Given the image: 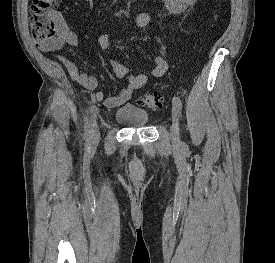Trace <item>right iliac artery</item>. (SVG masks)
Returning a JSON list of instances; mask_svg holds the SVG:
<instances>
[{
    "label": "right iliac artery",
    "mask_w": 275,
    "mask_h": 263,
    "mask_svg": "<svg viewBox=\"0 0 275 263\" xmlns=\"http://www.w3.org/2000/svg\"><path fill=\"white\" fill-rule=\"evenodd\" d=\"M94 115H95V106L91 105L87 112V116L85 118L84 138L87 142L91 140L92 123H93Z\"/></svg>",
    "instance_id": "82829eb1"
}]
</instances>
